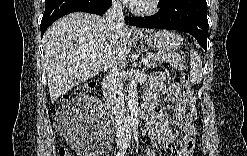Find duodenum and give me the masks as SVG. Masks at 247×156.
<instances>
[{
    "label": "duodenum",
    "mask_w": 247,
    "mask_h": 156,
    "mask_svg": "<svg viewBox=\"0 0 247 156\" xmlns=\"http://www.w3.org/2000/svg\"><path fill=\"white\" fill-rule=\"evenodd\" d=\"M103 92H104V95L107 97V103H106L107 107L117 104L118 99L113 95L112 86H111L109 78H106L104 80ZM141 114L145 120H149L152 117V111L147 106L142 109Z\"/></svg>",
    "instance_id": "1"
}]
</instances>
